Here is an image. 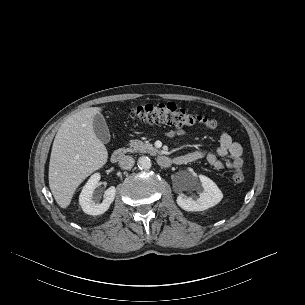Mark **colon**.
<instances>
[{"label": "colon", "instance_id": "colon-1", "mask_svg": "<svg viewBox=\"0 0 305 305\" xmlns=\"http://www.w3.org/2000/svg\"><path fill=\"white\" fill-rule=\"evenodd\" d=\"M130 116L143 124H168L177 127L202 125L211 130L219 127L216 120L189 112L171 102L133 107L130 109ZM244 179L243 170L238 169L234 172L233 180L235 183H241Z\"/></svg>", "mask_w": 305, "mask_h": 305}]
</instances>
